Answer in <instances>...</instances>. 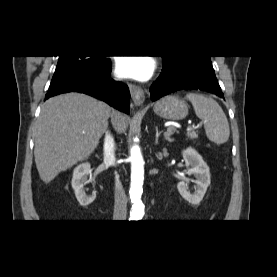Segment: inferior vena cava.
<instances>
[{
    "instance_id": "1",
    "label": "inferior vena cava",
    "mask_w": 277,
    "mask_h": 277,
    "mask_svg": "<svg viewBox=\"0 0 277 277\" xmlns=\"http://www.w3.org/2000/svg\"><path fill=\"white\" fill-rule=\"evenodd\" d=\"M115 144L114 139L106 133L104 141V163L108 165H115ZM115 202L113 218L124 221L127 215V198L123 186L116 176L115 179Z\"/></svg>"
}]
</instances>
